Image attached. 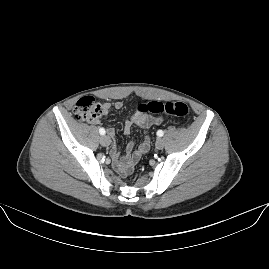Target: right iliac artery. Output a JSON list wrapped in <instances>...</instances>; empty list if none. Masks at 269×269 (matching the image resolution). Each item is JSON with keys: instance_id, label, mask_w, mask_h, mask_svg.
I'll return each mask as SVG.
<instances>
[{"instance_id": "obj_1", "label": "right iliac artery", "mask_w": 269, "mask_h": 269, "mask_svg": "<svg viewBox=\"0 0 269 269\" xmlns=\"http://www.w3.org/2000/svg\"><path fill=\"white\" fill-rule=\"evenodd\" d=\"M99 133H100L101 135H104V134H105V129H104V128H100V129H99Z\"/></svg>"}]
</instances>
